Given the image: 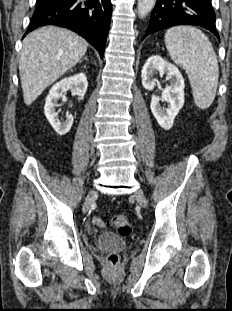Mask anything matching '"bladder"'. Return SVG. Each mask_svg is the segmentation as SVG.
Returning <instances> with one entry per match:
<instances>
[{
    "mask_svg": "<svg viewBox=\"0 0 232 311\" xmlns=\"http://www.w3.org/2000/svg\"><path fill=\"white\" fill-rule=\"evenodd\" d=\"M96 244L100 249L123 250L127 246V241L122 235L103 232L97 236Z\"/></svg>",
    "mask_w": 232,
    "mask_h": 311,
    "instance_id": "31cf9c89",
    "label": "bladder"
}]
</instances>
